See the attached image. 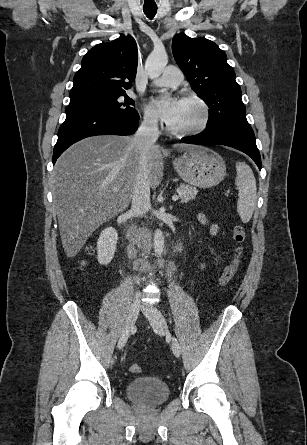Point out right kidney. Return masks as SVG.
<instances>
[{"mask_svg": "<svg viewBox=\"0 0 307 445\" xmlns=\"http://www.w3.org/2000/svg\"><path fill=\"white\" fill-rule=\"evenodd\" d=\"M117 237V231L113 227L102 231L97 243V261L100 265L111 263L116 251Z\"/></svg>", "mask_w": 307, "mask_h": 445, "instance_id": "1", "label": "right kidney"}]
</instances>
